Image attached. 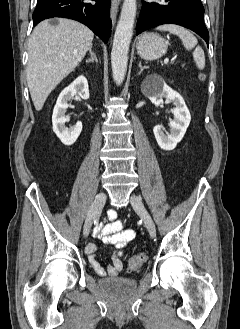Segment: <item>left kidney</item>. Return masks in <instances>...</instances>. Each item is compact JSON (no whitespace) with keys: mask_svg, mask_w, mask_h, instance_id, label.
Masks as SVG:
<instances>
[{"mask_svg":"<svg viewBox=\"0 0 240 329\" xmlns=\"http://www.w3.org/2000/svg\"><path fill=\"white\" fill-rule=\"evenodd\" d=\"M151 82H156V84L155 88L149 90L148 86ZM142 90L157 107L163 103V98L173 102L176 106L173 110L174 119L169 122L170 133L165 134L160 125H156L153 129L159 147L167 151L173 150L182 140L191 121V115L184 99L179 93L171 89L158 74H151L146 77L142 83Z\"/></svg>","mask_w":240,"mask_h":329,"instance_id":"left-kidney-1","label":"left kidney"}]
</instances>
